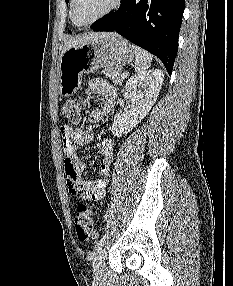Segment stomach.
Wrapping results in <instances>:
<instances>
[{
  "mask_svg": "<svg viewBox=\"0 0 233 286\" xmlns=\"http://www.w3.org/2000/svg\"><path fill=\"white\" fill-rule=\"evenodd\" d=\"M134 58L130 43L117 34L71 47L61 55L58 64L59 93L69 97L79 89L83 74L100 68L122 67Z\"/></svg>",
  "mask_w": 233,
  "mask_h": 286,
  "instance_id": "stomach-1",
  "label": "stomach"
}]
</instances>
